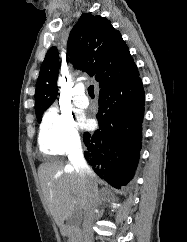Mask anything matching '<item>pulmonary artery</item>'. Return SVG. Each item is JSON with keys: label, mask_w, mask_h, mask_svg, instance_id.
I'll use <instances>...</instances> for the list:
<instances>
[{"label": "pulmonary artery", "mask_w": 187, "mask_h": 242, "mask_svg": "<svg viewBox=\"0 0 187 242\" xmlns=\"http://www.w3.org/2000/svg\"><path fill=\"white\" fill-rule=\"evenodd\" d=\"M74 104L79 108H86L89 105V100L85 95V88L81 84L74 88Z\"/></svg>", "instance_id": "pulmonary-artery-1"}]
</instances>
